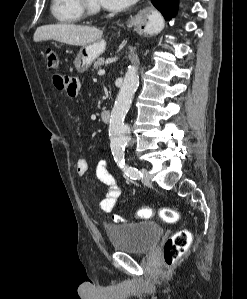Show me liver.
Listing matches in <instances>:
<instances>
[{
	"label": "liver",
	"mask_w": 247,
	"mask_h": 299,
	"mask_svg": "<svg viewBox=\"0 0 247 299\" xmlns=\"http://www.w3.org/2000/svg\"><path fill=\"white\" fill-rule=\"evenodd\" d=\"M103 32L91 26L74 24L43 25L36 29L34 42L55 40L73 46H85L101 39Z\"/></svg>",
	"instance_id": "1"
}]
</instances>
